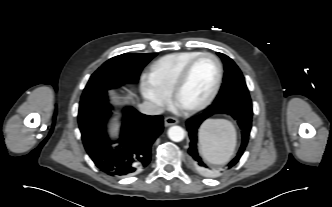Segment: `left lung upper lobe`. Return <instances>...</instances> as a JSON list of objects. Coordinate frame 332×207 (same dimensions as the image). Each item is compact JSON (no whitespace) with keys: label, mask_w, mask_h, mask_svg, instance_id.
<instances>
[{"label":"left lung upper lobe","mask_w":332,"mask_h":207,"mask_svg":"<svg viewBox=\"0 0 332 207\" xmlns=\"http://www.w3.org/2000/svg\"><path fill=\"white\" fill-rule=\"evenodd\" d=\"M224 63V79L218 96L214 102L229 99L251 100L242 72L234 61L225 54L218 53Z\"/></svg>","instance_id":"1"}]
</instances>
